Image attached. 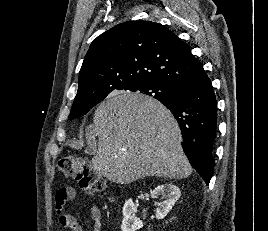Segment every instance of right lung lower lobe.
Returning <instances> with one entry per match:
<instances>
[{
    "label": "right lung lower lobe",
    "mask_w": 268,
    "mask_h": 231,
    "mask_svg": "<svg viewBox=\"0 0 268 231\" xmlns=\"http://www.w3.org/2000/svg\"><path fill=\"white\" fill-rule=\"evenodd\" d=\"M172 88V96L158 100L179 123L183 150L190 164L208 184L213 173L217 127V101L212 83L204 71L199 77Z\"/></svg>",
    "instance_id": "obj_1"
}]
</instances>
